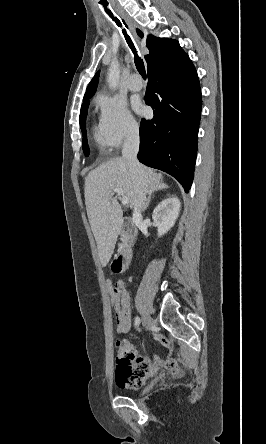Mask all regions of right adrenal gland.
Masks as SVG:
<instances>
[{"instance_id": "right-adrenal-gland-1", "label": "right adrenal gland", "mask_w": 266, "mask_h": 444, "mask_svg": "<svg viewBox=\"0 0 266 444\" xmlns=\"http://www.w3.org/2000/svg\"><path fill=\"white\" fill-rule=\"evenodd\" d=\"M167 188H168V185H166L165 183H162V184L158 185L157 187H155L149 193V196H148V199H147V202H146V205H145L143 211L147 210V208L149 207L150 202H151V198L154 196V193H156L157 191L163 190V189H167Z\"/></svg>"}]
</instances>
